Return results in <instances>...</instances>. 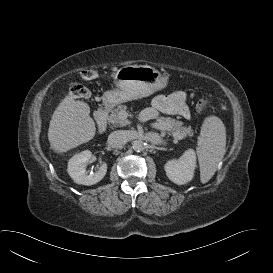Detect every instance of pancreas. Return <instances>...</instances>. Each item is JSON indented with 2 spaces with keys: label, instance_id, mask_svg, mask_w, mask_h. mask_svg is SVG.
<instances>
[{
  "label": "pancreas",
  "instance_id": "obj_1",
  "mask_svg": "<svg viewBox=\"0 0 273 273\" xmlns=\"http://www.w3.org/2000/svg\"><path fill=\"white\" fill-rule=\"evenodd\" d=\"M127 106L119 105L115 108L109 115V122L114 127H124L130 124V121L121 115V113L126 112ZM183 123L171 117H159L156 122L152 123V126L156 129L161 130L162 134L166 130H173L175 138H184L186 136H192L193 130L190 127L182 126Z\"/></svg>",
  "mask_w": 273,
  "mask_h": 273
}]
</instances>
